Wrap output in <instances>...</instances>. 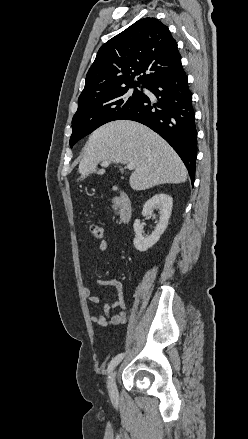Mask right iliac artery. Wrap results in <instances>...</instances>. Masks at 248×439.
I'll return each mask as SVG.
<instances>
[{
  "instance_id": "obj_1",
  "label": "right iliac artery",
  "mask_w": 248,
  "mask_h": 439,
  "mask_svg": "<svg viewBox=\"0 0 248 439\" xmlns=\"http://www.w3.org/2000/svg\"><path fill=\"white\" fill-rule=\"evenodd\" d=\"M123 357H124V353H121L111 360L107 368L108 374L113 371V369L119 364V362L123 359Z\"/></svg>"
}]
</instances>
